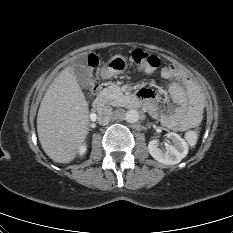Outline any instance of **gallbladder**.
<instances>
[{"label":"gallbladder","mask_w":233,"mask_h":233,"mask_svg":"<svg viewBox=\"0 0 233 233\" xmlns=\"http://www.w3.org/2000/svg\"><path fill=\"white\" fill-rule=\"evenodd\" d=\"M74 73L79 85L85 89L90 87L91 75L87 67V55L80 54L73 62Z\"/></svg>","instance_id":"obj_1"}]
</instances>
